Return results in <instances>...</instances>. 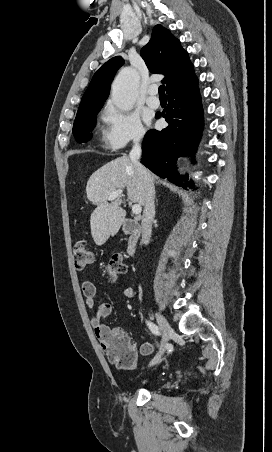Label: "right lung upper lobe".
Returning <instances> with one entry per match:
<instances>
[{
	"label": "right lung upper lobe",
	"instance_id": "1",
	"mask_svg": "<svg viewBox=\"0 0 272 452\" xmlns=\"http://www.w3.org/2000/svg\"><path fill=\"white\" fill-rule=\"evenodd\" d=\"M141 56L152 73L165 75L162 82L166 84L167 93L195 76L188 53L170 31L161 25L154 27L150 41L141 49ZM123 63L122 57L116 56L96 71L78 111L103 105L109 95L111 81Z\"/></svg>",
	"mask_w": 272,
	"mask_h": 452
}]
</instances>
